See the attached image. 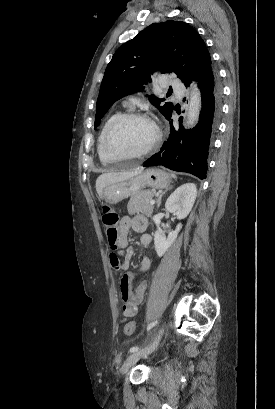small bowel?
<instances>
[{
    "label": "small bowel",
    "mask_w": 275,
    "mask_h": 409,
    "mask_svg": "<svg viewBox=\"0 0 275 409\" xmlns=\"http://www.w3.org/2000/svg\"><path fill=\"white\" fill-rule=\"evenodd\" d=\"M137 220H144L141 217H124L120 224V234H121V245L123 246V257L119 258L116 254L110 256V264L115 271H125L128 269L129 261L132 256V250L128 247V234L130 229L139 230L135 227V222ZM152 242V237L149 234H143L140 237V244L143 248H148ZM151 266V261L147 255H143L140 263L139 273H144L149 270ZM135 273H126L120 280V292L122 300L124 301L122 307V315L125 318L133 317L138 312L139 305L143 302L146 282H140L136 290L133 292L131 290L130 282L134 277Z\"/></svg>",
    "instance_id": "c3829d8e"
}]
</instances>
